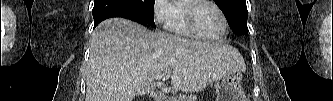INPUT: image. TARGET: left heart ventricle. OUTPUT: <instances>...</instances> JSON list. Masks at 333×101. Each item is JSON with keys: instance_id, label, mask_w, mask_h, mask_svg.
<instances>
[{"instance_id": "b2bd125f", "label": "left heart ventricle", "mask_w": 333, "mask_h": 101, "mask_svg": "<svg viewBox=\"0 0 333 101\" xmlns=\"http://www.w3.org/2000/svg\"><path fill=\"white\" fill-rule=\"evenodd\" d=\"M196 21L204 35L217 37L223 32V21L218 12L209 5H202L196 11Z\"/></svg>"}]
</instances>
